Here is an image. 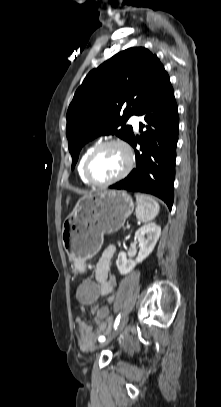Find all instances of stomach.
<instances>
[{
    "label": "stomach",
    "instance_id": "1",
    "mask_svg": "<svg viewBox=\"0 0 221 407\" xmlns=\"http://www.w3.org/2000/svg\"><path fill=\"white\" fill-rule=\"evenodd\" d=\"M134 210L129 194L108 190L83 196L63 223L62 243L76 270L101 249L104 235L117 232Z\"/></svg>",
    "mask_w": 221,
    "mask_h": 407
}]
</instances>
